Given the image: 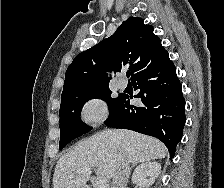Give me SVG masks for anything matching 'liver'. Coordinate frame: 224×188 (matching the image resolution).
Masks as SVG:
<instances>
[{
  "label": "liver",
  "instance_id": "liver-1",
  "mask_svg": "<svg viewBox=\"0 0 224 188\" xmlns=\"http://www.w3.org/2000/svg\"><path fill=\"white\" fill-rule=\"evenodd\" d=\"M165 145L156 138L129 130H105L80 141L57 161L54 188H86L91 168L98 176L111 179L122 158L137 164L167 155ZM88 168V171L77 173Z\"/></svg>",
  "mask_w": 224,
  "mask_h": 188
}]
</instances>
